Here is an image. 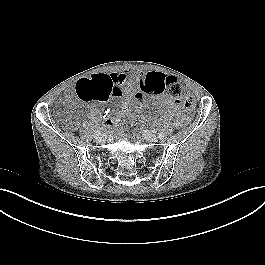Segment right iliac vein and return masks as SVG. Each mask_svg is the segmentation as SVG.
<instances>
[{"instance_id": "obj_1", "label": "right iliac vein", "mask_w": 265, "mask_h": 265, "mask_svg": "<svg viewBox=\"0 0 265 265\" xmlns=\"http://www.w3.org/2000/svg\"><path fill=\"white\" fill-rule=\"evenodd\" d=\"M105 136L104 135H99V136H97L96 137V141L98 142V143H103V142H105Z\"/></svg>"}]
</instances>
